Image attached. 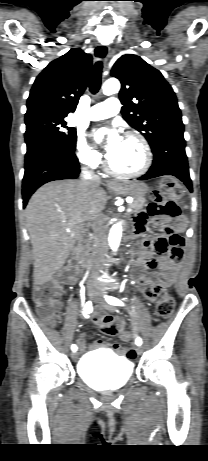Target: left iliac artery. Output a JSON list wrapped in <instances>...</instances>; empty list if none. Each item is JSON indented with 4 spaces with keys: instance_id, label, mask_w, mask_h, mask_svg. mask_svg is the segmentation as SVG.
I'll use <instances>...</instances> for the list:
<instances>
[{
    "instance_id": "left-iliac-artery-1",
    "label": "left iliac artery",
    "mask_w": 208,
    "mask_h": 461,
    "mask_svg": "<svg viewBox=\"0 0 208 461\" xmlns=\"http://www.w3.org/2000/svg\"><path fill=\"white\" fill-rule=\"evenodd\" d=\"M106 301L111 305L123 306L124 304L117 298L112 296H105ZM142 344V339L138 337L136 339V345L140 346Z\"/></svg>"
}]
</instances>
